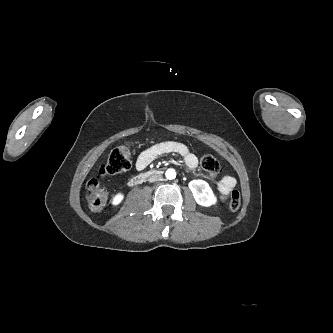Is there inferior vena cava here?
<instances>
[{"label": "inferior vena cava", "instance_id": "inferior-vena-cava-1", "mask_svg": "<svg viewBox=\"0 0 333 333\" xmlns=\"http://www.w3.org/2000/svg\"><path fill=\"white\" fill-rule=\"evenodd\" d=\"M161 178H162L161 175H152V176H150L149 181L154 182V181L161 180Z\"/></svg>", "mask_w": 333, "mask_h": 333}]
</instances>
